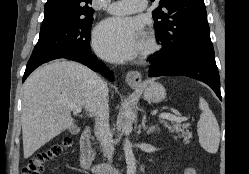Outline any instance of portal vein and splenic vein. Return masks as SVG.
Masks as SVG:
<instances>
[{"label":"portal vein and splenic vein","instance_id":"obj_1","mask_svg":"<svg viewBox=\"0 0 249 174\" xmlns=\"http://www.w3.org/2000/svg\"><path fill=\"white\" fill-rule=\"evenodd\" d=\"M70 108H71V110L73 111L74 114H78V113H80L82 111V107L77 106V105H70ZM159 118L166 119V120H169V121H173V122H176V123H181V122L186 120L185 117H177V116L172 115L170 113H161L159 115Z\"/></svg>","mask_w":249,"mask_h":174}]
</instances>
